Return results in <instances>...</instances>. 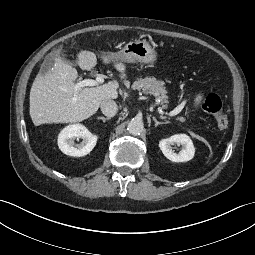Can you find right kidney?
Instances as JSON below:
<instances>
[{
	"label": "right kidney",
	"mask_w": 255,
	"mask_h": 255,
	"mask_svg": "<svg viewBox=\"0 0 255 255\" xmlns=\"http://www.w3.org/2000/svg\"><path fill=\"white\" fill-rule=\"evenodd\" d=\"M82 138L83 141L74 146V139ZM97 136L93 135L85 126L74 124L65 127L58 135L59 149L66 155L81 157L89 154L95 147Z\"/></svg>",
	"instance_id": "obj_1"
}]
</instances>
